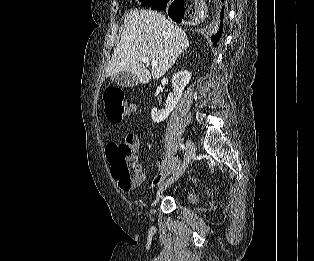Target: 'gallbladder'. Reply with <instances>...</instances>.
I'll use <instances>...</instances> for the list:
<instances>
[{
  "mask_svg": "<svg viewBox=\"0 0 314 261\" xmlns=\"http://www.w3.org/2000/svg\"><path fill=\"white\" fill-rule=\"evenodd\" d=\"M111 80L122 87H134L138 84L137 78L130 72L117 73L111 77Z\"/></svg>",
  "mask_w": 314,
  "mask_h": 261,
  "instance_id": "bac80fb5",
  "label": "gallbladder"
}]
</instances>
